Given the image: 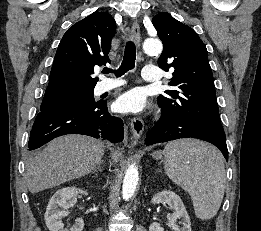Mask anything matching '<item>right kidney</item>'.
<instances>
[{
  "label": "right kidney",
  "instance_id": "ca27d5eb",
  "mask_svg": "<svg viewBox=\"0 0 261 231\" xmlns=\"http://www.w3.org/2000/svg\"><path fill=\"white\" fill-rule=\"evenodd\" d=\"M87 195V191L76 187H65L51 197L44 215L46 226L50 231H82L84 221L81 218L75 220V224L70 228H64L62 218L68 215L66 211L77 201V195ZM62 208L63 210H60Z\"/></svg>",
  "mask_w": 261,
  "mask_h": 231
}]
</instances>
